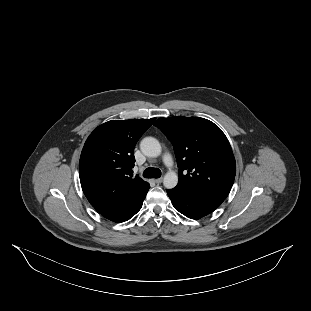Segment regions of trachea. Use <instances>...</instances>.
Here are the masks:
<instances>
[{
  "instance_id": "3493384b",
  "label": "trachea",
  "mask_w": 311,
  "mask_h": 311,
  "mask_svg": "<svg viewBox=\"0 0 311 311\" xmlns=\"http://www.w3.org/2000/svg\"><path fill=\"white\" fill-rule=\"evenodd\" d=\"M143 177L145 178H160L161 170L159 168L148 167L143 172Z\"/></svg>"
}]
</instances>
